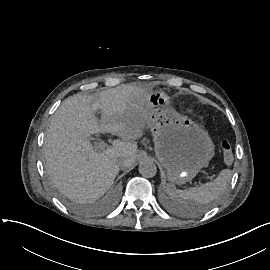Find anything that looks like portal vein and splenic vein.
<instances>
[{
  "label": "portal vein and splenic vein",
  "mask_w": 270,
  "mask_h": 270,
  "mask_svg": "<svg viewBox=\"0 0 270 270\" xmlns=\"http://www.w3.org/2000/svg\"><path fill=\"white\" fill-rule=\"evenodd\" d=\"M103 128L105 129H108V128H112V124H110V123H107V122H103ZM106 150V143L104 142V141H101L97 146H95L94 148H93V151L95 152V153H102V152H104ZM203 176H206V182H209V179L211 180V181H214V177H212V176H209V175H206V173H203Z\"/></svg>",
  "instance_id": "1"
}]
</instances>
